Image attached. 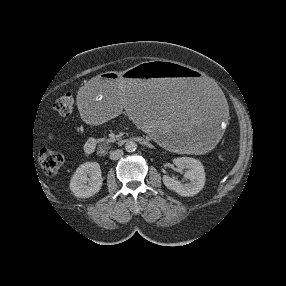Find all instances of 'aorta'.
Masks as SVG:
<instances>
[{"mask_svg":"<svg viewBox=\"0 0 286 286\" xmlns=\"http://www.w3.org/2000/svg\"><path fill=\"white\" fill-rule=\"evenodd\" d=\"M137 148V144L134 141H129L125 144V150L127 152H134Z\"/></svg>","mask_w":286,"mask_h":286,"instance_id":"762f6f07","label":"aorta"}]
</instances>
